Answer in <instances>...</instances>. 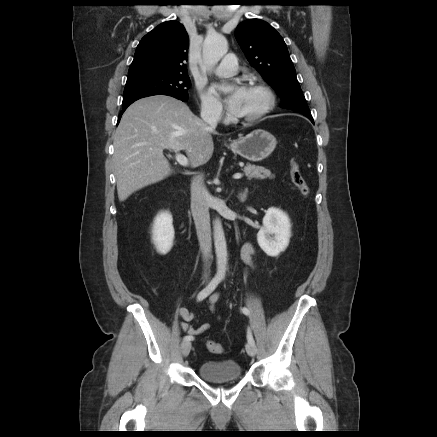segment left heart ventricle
Masks as SVG:
<instances>
[{
	"label": "left heart ventricle",
	"mask_w": 437,
	"mask_h": 437,
	"mask_svg": "<svg viewBox=\"0 0 437 437\" xmlns=\"http://www.w3.org/2000/svg\"><path fill=\"white\" fill-rule=\"evenodd\" d=\"M265 95L257 89L245 88L236 116H250L257 113L265 104Z\"/></svg>",
	"instance_id": "1"
}]
</instances>
